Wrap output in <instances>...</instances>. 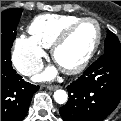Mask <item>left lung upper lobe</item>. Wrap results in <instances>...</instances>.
<instances>
[{"instance_id": "5c2ea615", "label": "left lung upper lobe", "mask_w": 121, "mask_h": 121, "mask_svg": "<svg viewBox=\"0 0 121 121\" xmlns=\"http://www.w3.org/2000/svg\"><path fill=\"white\" fill-rule=\"evenodd\" d=\"M105 49L104 54L106 53H121V44L117 36L112 33L110 30L107 31V38L104 42Z\"/></svg>"}]
</instances>
